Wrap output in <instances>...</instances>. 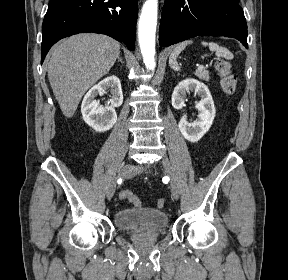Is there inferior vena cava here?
<instances>
[{
	"instance_id": "obj_1",
	"label": "inferior vena cava",
	"mask_w": 288,
	"mask_h": 280,
	"mask_svg": "<svg viewBox=\"0 0 288 280\" xmlns=\"http://www.w3.org/2000/svg\"><path fill=\"white\" fill-rule=\"evenodd\" d=\"M162 159H169V154H162Z\"/></svg>"
}]
</instances>
